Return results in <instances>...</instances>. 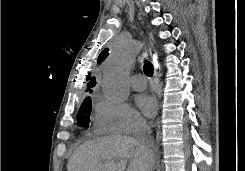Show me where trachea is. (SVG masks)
I'll return each instance as SVG.
<instances>
[{"label": "trachea", "mask_w": 245, "mask_h": 171, "mask_svg": "<svg viewBox=\"0 0 245 171\" xmlns=\"http://www.w3.org/2000/svg\"><path fill=\"white\" fill-rule=\"evenodd\" d=\"M143 70L146 76L151 77L153 75V65L150 61H145Z\"/></svg>", "instance_id": "trachea-1"}]
</instances>
